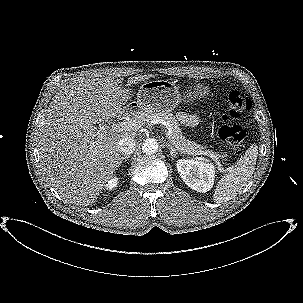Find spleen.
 Instances as JSON below:
<instances>
[{"label":"spleen","instance_id":"1","mask_svg":"<svg viewBox=\"0 0 303 303\" xmlns=\"http://www.w3.org/2000/svg\"><path fill=\"white\" fill-rule=\"evenodd\" d=\"M257 155L258 146L251 145L237 160L235 167L218 181L213 194L215 203L220 204L233 199L247 185L255 171Z\"/></svg>","mask_w":303,"mask_h":303}]
</instances>
